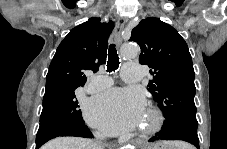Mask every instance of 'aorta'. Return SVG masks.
Wrapping results in <instances>:
<instances>
[{
	"label": "aorta",
	"mask_w": 227,
	"mask_h": 149,
	"mask_svg": "<svg viewBox=\"0 0 227 149\" xmlns=\"http://www.w3.org/2000/svg\"><path fill=\"white\" fill-rule=\"evenodd\" d=\"M139 53V48L133 45H126L122 49V57L125 59L135 58Z\"/></svg>",
	"instance_id": "1"
}]
</instances>
